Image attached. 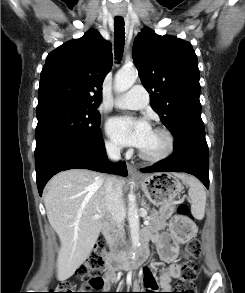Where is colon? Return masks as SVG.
Returning a JSON list of instances; mask_svg holds the SVG:
<instances>
[{"label":"colon","instance_id":"colon-1","mask_svg":"<svg viewBox=\"0 0 245 293\" xmlns=\"http://www.w3.org/2000/svg\"><path fill=\"white\" fill-rule=\"evenodd\" d=\"M178 214L184 218L190 215L189 208L186 204H180L177 208ZM189 230V222L187 220H178L174 222L171 233L175 237L182 236ZM95 251L89 258L78 268L76 275L83 282L82 289L92 291L100 289L104 283L99 277L103 266L102 253L107 251L106 240L99 237ZM184 262L182 264V275L179 281L175 284L174 292L172 293H195L194 281L197 276V267L195 260L201 256V243L199 240L190 241L183 253ZM76 287L70 283L63 282L60 285L49 290L48 293H92V292H74Z\"/></svg>","mask_w":245,"mask_h":293}]
</instances>
